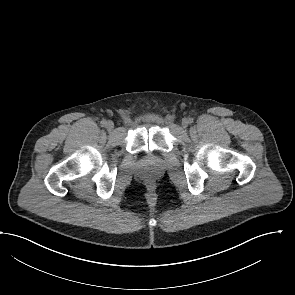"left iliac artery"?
Returning <instances> with one entry per match:
<instances>
[{"instance_id": "44dca946", "label": "left iliac artery", "mask_w": 295, "mask_h": 295, "mask_svg": "<svg viewBox=\"0 0 295 295\" xmlns=\"http://www.w3.org/2000/svg\"><path fill=\"white\" fill-rule=\"evenodd\" d=\"M189 123H193V118H188Z\"/></svg>"}]
</instances>
